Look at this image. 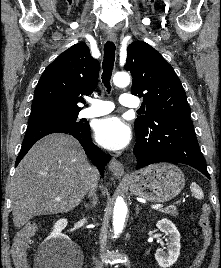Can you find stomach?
Segmentation results:
<instances>
[{
	"label": "stomach",
	"mask_w": 221,
	"mask_h": 268,
	"mask_svg": "<svg viewBox=\"0 0 221 268\" xmlns=\"http://www.w3.org/2000/svg\"><path fill=\"white\" fill-rule=\"evenodd\" d=\"M134 195L153 202H166L176 197L185 185L183 172L170 163H158L141 169L128 178Z\"/></svg>",
	"instance_id": "1"
}]
</instances>
